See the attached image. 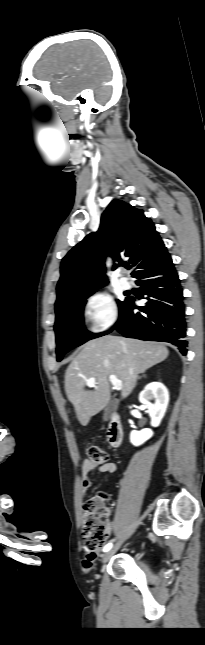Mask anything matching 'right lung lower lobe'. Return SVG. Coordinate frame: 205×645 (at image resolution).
Returning a JSON list of instances; mask_svg holds the SVG:
<instances>
[{
    "label": "right lung lower lobe",
    "mask_w": 205,
    "mask_h": 645,
    "mask_svg": "<svg viewBox=\"0 0 205 645\" xmlns=\"http://www.w3.org/2000/svg\"><path fill=\"white\" fill-rule=\"evenodd\" d=\"M135 278L148 302L133 309L134 298H127L116 329L124 337L169 342L187 354L185 304L177 271L169 256L138 273ZM108 332L101 333L100 336Z\"/></svg>",
    "instance_id": "98d812e1"
}]
</instances>
